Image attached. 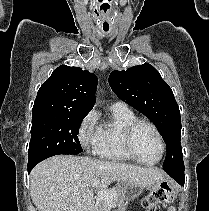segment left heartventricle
Returning <instances> with one entry per match:
<instances>
[{
    "label": "left heart ventricle",
    "instance_id": "left-heart-ventricle-1",
    "mask_svg": "<svg viewBox=\"0 0 209 211\" xmlns=\"http://www.w3.org/2000/svg\"><path fill=\"white\" fill-rule=\"evenodd\" d=\"M133 148L137 156L146 162L158 159L161 151L160 142L155 132L148 126H140L135 133Z\"/></svg>",
    "mask_w": 209,
    "mask_h": 211
}]
</instances>
